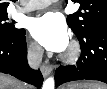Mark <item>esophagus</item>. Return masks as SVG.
Listing matches in <instances>:
<instances>
[{"instance_id": "1", "label": "esophagus", "mask_w": 107, "mask_h": 89, "mask_svg": "<svg viewBox=\"0 0 107 89\" xmlns=\"http://www.w3.org/2000/svg\"><path fill=\"white\" fill-rule=\"evenodd\" d=\"M52 71V66L51 65H42L41 66V72L44 77L48 76Z\"/></svg>"}]
</instances>
